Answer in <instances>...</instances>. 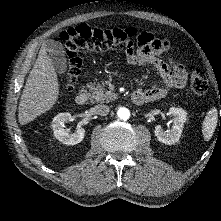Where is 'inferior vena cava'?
I'll return each instance as SVG.
<instances>
[{
  "mask_svg": "<svg viewBox=\"0 0 221 221\" xmlns=\"http://www.w3.org/2000/svg\"><path fill=\"white\" fill-rule=\"evenodd\" d=\"M95 113L101 116H106L109 113V106L100 104L95 106Z\"/></svg>",
  "mask_w": 221,
  "mask_h": 221,
  "instance_id": "1",
  "label": "inferior vena cava"
}]
</instances>
